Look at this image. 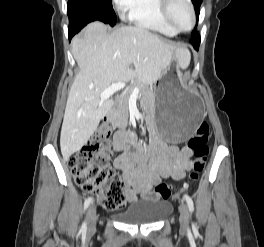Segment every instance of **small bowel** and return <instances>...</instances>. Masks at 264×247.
Returning <instances> with one entry per match:
<instances>
[{
	"label": "small bowel",
	"instance_id": "small-bowel-1",
	"mask_svg": "<svg viewBox=\"0 0 264 247\" xmlns=\"http://www.w3.org/2000/svg\"><path fill=\"white\" fill-rule=\"evenodd\" d=\"M114 148L119 152L114 166L123 173L130 202H134L137 195L157 199L154 188L162 178L182 180L191 168V150L186 146L167 144L154 129L148 149L137 140L133 131L125 128L115 133Z\"/></svg>",
	"mask_w": 264,
	"mask_h": 247
}]
</instances>
